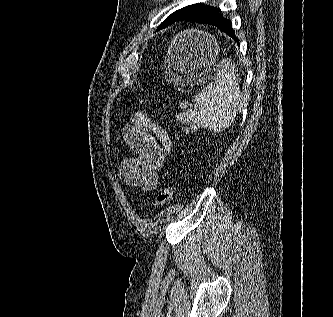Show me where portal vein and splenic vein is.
Wrapping results in <instances>:
<instances>
[{"instance_id":"portal-vein-and-splenic-vein-1","label":"portal vein and splenic vein","mask_w":333,"mask_h":317,"mask_svg":"<svg viewBox=\"0 0 333 317\" xmlns=\"http://www.w3.org/2000/svg\"><path fill=\"white\" fill-rule=\"evenodd\" d=\"M182 108H183V109H186V108H188V107H187L186 105H183Z\"/></svg>"}]
</instances>
